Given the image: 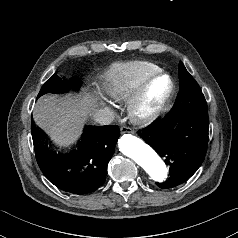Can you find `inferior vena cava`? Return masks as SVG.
<instances>
[{"mask_svg": "<svg viewBox=\"0 0 238 238\" xmlns=\"http://www.w3.org/2000/svg\"><path fill=\"white\" fill-rule=\"evenodd\" d=\"M93 119L95 122L99 123L100 125H109L114 120V112L106 107L100 110H97L93 115Z\"/></svg>", "mask_w": 238, "mask_h": 238, "instance_id": "inferior-vena-cava-1", "label": "inferior vena cava"}]
</instances>
